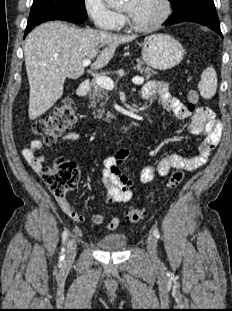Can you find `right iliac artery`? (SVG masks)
Returning <instances> with one entry per match:
<instances>
[{
    "label": "right iliac artery",
    "mask_w": 232,
    "mask_h": 311,
    "mask_svg": "<svg viewBox=\"0 0 232 311\" xmlns=\"http://www.w3.org/2000/svg\"><path fill=\"white\" fill-rule=\"evenodd\" d=\"M68 236H69V231H68V230H65V231L63 232V234H62V243H63V245L66 244L67 239H68ZM64 251H65V248L62 247L61 254H60V259H59L60 263H62V262L64 261V257H65Z\"/></svg>",
    "instance_id": "82829eb1"
}]
</instances>
